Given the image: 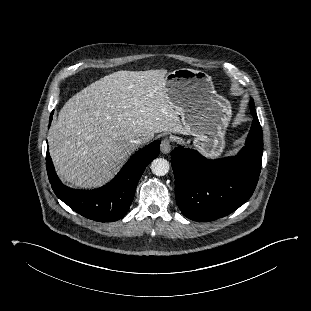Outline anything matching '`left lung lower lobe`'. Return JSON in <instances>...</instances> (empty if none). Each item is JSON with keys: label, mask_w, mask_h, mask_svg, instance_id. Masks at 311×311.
I'll use <instances>...</instances> for the list:
<instances>
[{"label": "left lung lower lobe", "mask_w": 311, "mask_h": 311, "mask_svg": "<svg viewBox=\"0 0 311 311\" xmlns=\"http://www.w3.org/2000/svg\"><path fill=\"white\" fill-rule=\"evenodd\" d=\"M245 146L235 157L209 160L196 150L171 153L175 196L182 214L197 222L229 215L253 194L261 171L263 134L256 112Z\"/></svg>", "instance_id": "0a47b994"}]
</instances>
